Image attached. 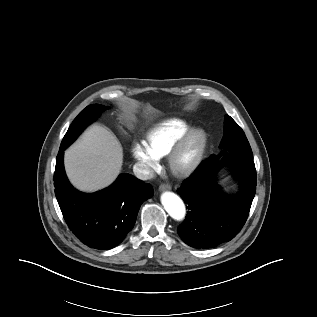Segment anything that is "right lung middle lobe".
Here are the masks:
<instances>
[{
    "instance_id": "dd1d6c3e",
    "label": "right lung middle lobe",
    "mask_w": 317,
    "mask_h": 317,
    "mask_svg": "<svg viewBox=\"0 0 317 317\" xmlns=\"http://www.w3.org/2000/svg\"><path fill=\"white\" fill-rule=\"evenodd\" d=\"M107 107L99 104H92L87 106L81 113L75 118L70 125L67 133L65 134L61 146L68 147L79 134L93 121L97 119L100 113L106 110Z\"/></svg>"
}]
</instances>
